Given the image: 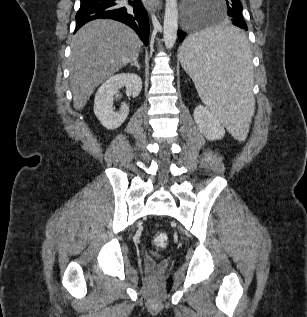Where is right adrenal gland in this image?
I'll list each match as a JSON object with an SVG mask.
<instances>
[{
    "instance_id": "1",
    "label": "right adrenal gland",
    "mask_w": 307,
    "mask_h": 317,
    "mask_svg": "<svg viewBox=\"0 0 307 317\" xmlns=\"http://www.w3.org/2000/svg\"><path fill=\"white\" fill-rule=\"evenodd\" d=\"M130 66H135L138 70H140V65L138 64L137 58H135L134 61L130 63Z\"/></svg>"
}]
</instances>
